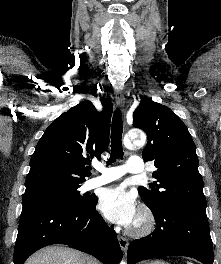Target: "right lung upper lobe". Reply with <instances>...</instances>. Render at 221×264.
<instances>
[{
    "mask_svg": "<svg viewBox=\"0 0 221 264\" xmlns=\"http://www.w3.org/2000/svg\"><path fill=\"white\" fill-rule=\"evenodd\" d=\"M102 112L83 101L59 116L44 132L30 160L26 189L54 182L83 183L92 158L101 159L109 145L113 105Z\"/></svg>",
    "mask_w": 221,
    "mask_h": 264,
    "instance_id": "obj_1",
    "label": "right lung upper lobe"
}]
</instances>
